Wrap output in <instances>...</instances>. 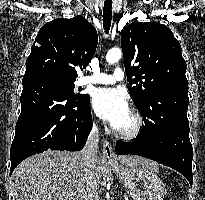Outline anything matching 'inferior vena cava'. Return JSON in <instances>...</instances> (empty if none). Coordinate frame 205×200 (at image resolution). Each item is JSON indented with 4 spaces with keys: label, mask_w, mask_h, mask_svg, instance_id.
<instances>
[{
    "label": "inferior vena cava",
    "mask_w": 205,
    "mask_h": 200,
    "mask_svg": "<svg viewBox=\"0 0 205 200\" xmlns=\"http://www.w3.org/2000/svg\"><path fill=\"white\" fill-rule=\"evenodd\" d=\"M98 128L93 124L92 130L88 136L84 148L81 150V167L84 172V191L83 200H99L98 188L99 182L93 175L95 167V158L98 151Z\"/></svg>",
    "instance_id": "inferior-vena-cava-1"
}]
</instances>
